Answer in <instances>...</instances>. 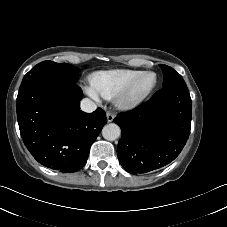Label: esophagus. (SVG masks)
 <instances>
[{
    "label": "esophagus",
    "instance_id": "obj_1",
    "mask_svg": "<svg viewBox=\"0 0 227 227\" xmlns=\"http://www.w3.org/2000/svg\"><path fill=\"white\" fill-rule=\"evenodd\" d=\"M106 117H107V121L108 122H112L114 120V118H115V115L113 113H111V112H107L106 113Z\"/></svg>",
    "mask_w": 227,
    "mask_h": 227
}]
</instances>
